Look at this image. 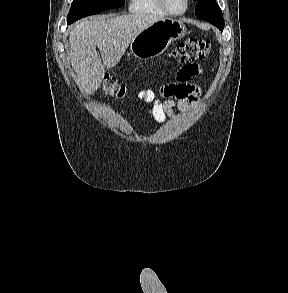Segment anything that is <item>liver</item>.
I'll return each mask as SVG.
<instances>
[{
  "label": "liver",
  "mask_w": 288,
  "mask_h": 293,
  "mask_svg": "<svg viewBox=\"0 0 288 293\" xmlns=\"http://www.w3.org/2000/svg\"><path fill=\"white\" fill-rule=\"evenodd\" d=\"M163 18L156 14L136 13L117 17L97 16L76 23L69 35V59L80 90L85 95L94 93L101 85L105 68L117 65L132 40Z\"/></svg>",
  "instance_id": "liver-1"
}]
</instances>
